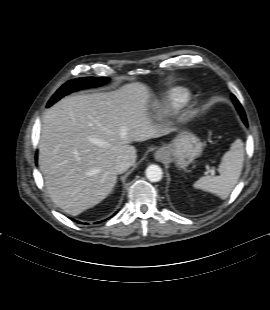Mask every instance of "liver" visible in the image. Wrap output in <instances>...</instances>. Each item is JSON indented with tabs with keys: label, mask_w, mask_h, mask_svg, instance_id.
<instances>
[{
	"label": "liver",
	"mask_w": 270,
	"mask_h": 310,
	"mask_svg": "<svg viewBox=\"0 0 270 310\" xmlns=\"http://www.w3.org/2000/svg\"><path fill=\"white\" fill-rule=\"evenodd\" d=\"M151 93L139 82L120 89L67 96L45 114L39 165L51 200L67 214L79 215L99 204L117 182L115 160L136 162L132 142L167 134L149 112Z\"/></svg>",
	"instance_id": "liver-1"
}]
</instances>
